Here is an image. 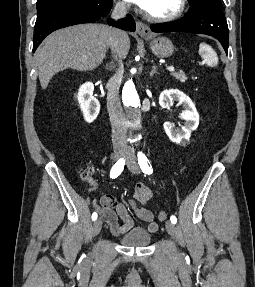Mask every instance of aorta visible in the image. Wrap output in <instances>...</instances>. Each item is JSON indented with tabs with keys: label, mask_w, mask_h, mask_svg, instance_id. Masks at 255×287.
<instances>
[{
	"label": "aorta",
	"mask_w": 255,
	"mask_h": 287,
	"mask_svg": "<svg viewBox=\"0 0 255 287\" xmlns=\"http://www.w3.org/2000/svg\"><path fill=\"white\" fill-rule=\"evenodd\" d=\"M124 105L136 113L140 108V99L132 79L128 80L122 90Z\"/></svg>",
	"instance_id": "762f6f07"
}]
</instances>
